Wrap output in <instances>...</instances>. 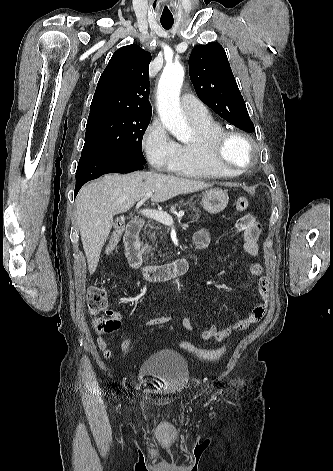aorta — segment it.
Here are the masks:
<instances>
[{"label": "aorta", "instance_id": "1", "mask_svg": "<svg viewBox=\"0 0 333 471\" xmlns=\"http://www.w3.org/2000/svg\"><path fill=\"white\" fill-rule=\"evenodd\" d=\"M183 80L184 69L181 64L167 65L163 69L157 90L161 122L181 142L188 140L191 133L179 102Z\"/></svg>", "mask_w": 333, "mask_h": 471}]
</instances>
